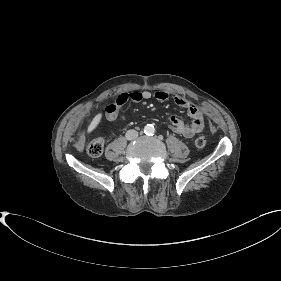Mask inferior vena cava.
Listing matches in <instances>:
<instances>
[{
  "label": "inferior vena cava",
  "mask_w": 281,
  "mask_h": 281,
  "mask_svg": "<svg viewBox=\"0 0 281 281\" xmlns=\"http://www.w3.org/2000/svg\"><path fill=\"white\" fill-rule=\"evenodd\" d=\"M127 140H133L138 137V132L134 129L128 130L125 134Z\"/></svg>",
  "instance_id": "obj_1"
}]
</instances>
